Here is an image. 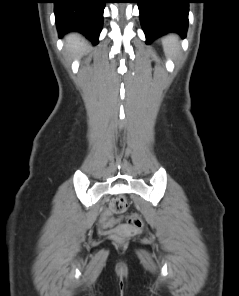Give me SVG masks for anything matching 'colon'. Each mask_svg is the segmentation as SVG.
Wrapping results in <instances>:
<instances>
[{
  "label": "colon",
  "mask_w": 239,
  "mask_h": 296,
  "mask_svg": "<svg viewBox=\"0 0 239 296\" xmlns=\"http://www.w3.org/2000/svg\"><path fill=\"white\" fill-rule=\"evenodd\" d=\"M127 208V202L124 197H115L111 200L109 209L111 212L115 214H123L125 213ZM127 223L134 227L140 228L143 225V221L141 217L136 213H131L126 216Z\"/></svg>",
  "instance_id": "5ec220e1"
}]
</instances>
